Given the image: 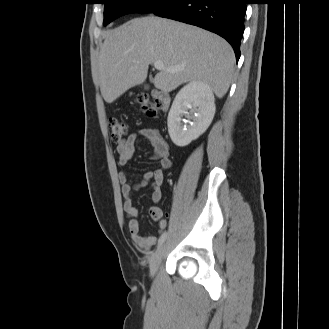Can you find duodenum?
I'll list each match as a JSON object with an SVG mask.
<instances>
[{
  "mask_svg": "<svg viewBox=\"0 0 329 329\" xmlns=\"http://www.w3.org/2000/svg\"><path fill=\"white\" fill-rule=\"evenodd\" d=\"M155 97L160 100L162 103L163 107L166 108L170 102L169 96L163 92H155L154 93Z\"/></svg>",
  "mask_w": 329,
  "mask_h": 329,
  "instance_id": "1",
  "label": "duodenum"
}]
</instances>
